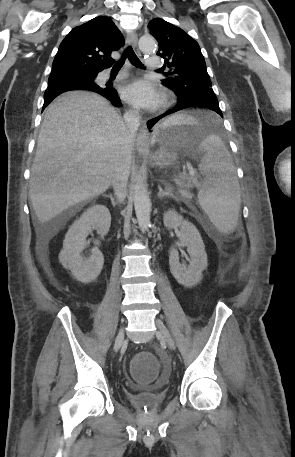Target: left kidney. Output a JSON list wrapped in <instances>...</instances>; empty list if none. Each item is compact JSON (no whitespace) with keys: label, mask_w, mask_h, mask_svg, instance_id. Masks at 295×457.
<instances>
[{"label":"left kidney","mask_w":295,"mask_h":457,"mask_svg":"<svg viewBox=\"0 0 295 457\" xmlns=\"http://www.w3.org/2000/svg\"><path fill=\"white\" fill-rule=\"evenodd\" d=\"M163 223L167 229L180 228V245L187 248L190 261L188 266L180 264L178 251L172 250L169 255L170 271L179 284L192 288L201 280L202 272L208 265L201 235L191 222L183 219L175 210L164 213Z\"/></svg>","instance_id":"5707ae66"}]
</instances>
